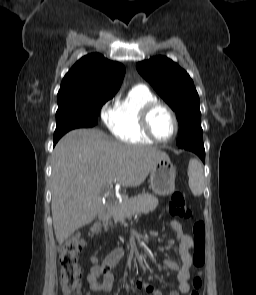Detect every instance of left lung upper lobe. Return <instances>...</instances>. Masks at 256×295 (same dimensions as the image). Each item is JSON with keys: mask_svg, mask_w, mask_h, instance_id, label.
Masks as SVG:
<instances>
[{"mask_svg": "<svg viewBox=\"0 0 256 295\" xmlns=\"http://www.w3.org/2000/svg\"><path fill=\"white\" fill-rule=\"evenodd\" d=\"M136 68L164 101L176 111L179 121L177 145L184 148L203 144L199 96L187 72L164 56L139 62Z\"/></svg>", "mask_w": 256, "mask_h": 295, "instance_id": "left-lung-upper-lobe-1", "label": "left lung upper lobe"}]
</instances>
